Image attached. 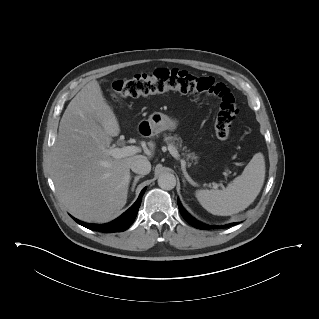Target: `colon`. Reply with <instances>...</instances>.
<instances>
[{
    "instance_id": "colon-1",
    "label": "colon",
    "mask_w": 319,
    "mask_h": 319,
    "mask_svg": "<svg viewBox=\"0 0 319 319\" xmlns=\"http://www.w3.org/2000/svg\"><path fill=\"white\" fill-rule=\"evenodd\" d=\"M167 91L218 99L215 133L220 140L229 138L231 123L238 113L236 100L226 85L216 82L211 77H198L179 69L160 68L151 73L137 74L131 79L117 80L113 83L114 97L119 102Z\"/></svg>"
}]
</instances>
